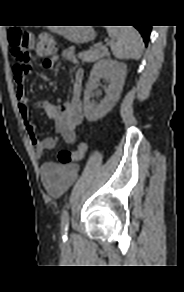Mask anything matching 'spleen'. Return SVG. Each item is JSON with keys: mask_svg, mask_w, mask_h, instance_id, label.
<instances>
[{"mask_svg": "<svg viewBox=\"0 0 184 292\" xmlns=\"http://www.w3.org/2000/svg\"><path fill=\"white\" fill-rule=\"evenodd\" d=\"M109 36L115 40L111 50L115 58L120 60H139L142 55V38L139 32L131 26L108 27Z\"/></svg>", "mask_w": 184, "mask_h": 292, "instance_id": "1", "label": "spleen"}]
</instances>
